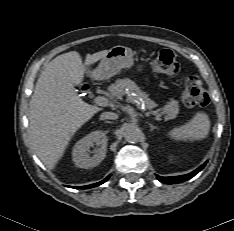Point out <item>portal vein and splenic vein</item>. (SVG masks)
<instances>
[{
    "instance_id": "18ae733b",
    "label": "portal vein and splenic vein",
    "mask_w": 234,
    "mask_h": 231,
    "mask_svg": "<svg viewBox=\"0 0 234 231\" xmlns=\"http://www.w3.org/2000/svg\"><path fill=\"white\" fill-rule=\"evenodd\" d=\"M95 103L99 106H109L111 103L109 100L103 96H98L94 99ZM150 114L154 115L156 119H160L161 114H159L157 111H152Z\"/></svg>"
}]
</instances>
